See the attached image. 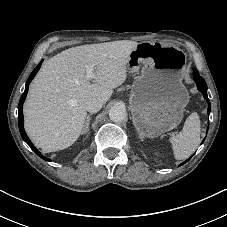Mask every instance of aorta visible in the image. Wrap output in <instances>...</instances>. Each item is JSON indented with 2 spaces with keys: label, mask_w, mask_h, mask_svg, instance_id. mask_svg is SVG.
Returning <instances> with one entry per match:
<instances>
[{
  "label": "aorta",
  "mask_w": 227,
  "mask_h": 227,
  "mask_svg": "<svg viewBox=\"0 0 227 227\" xmlns=\"http://www.w3.org/2000/svg\"><path fill=\"white\" fill-rule=\"evenodd\" d=\"M109 117L114 122H121L126 118V109L123 106L115 105L109 110Z\"/></svg>",
  "instance_id": "762f6f07"
}]
</instances>
